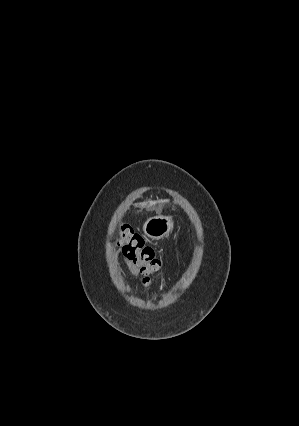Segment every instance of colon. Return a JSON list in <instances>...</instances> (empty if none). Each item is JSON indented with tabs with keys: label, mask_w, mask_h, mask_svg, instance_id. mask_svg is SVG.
Listing matches in <instances>:
<instances>
[{
	"label": "colon",
	"mask_w": 299,
	"mask_h": 426,
	"mask_svg": "<svg viewBox=\"0 0 299 426\" xmlns=\"http://www.w3.org/2000/svg\"><path fill=\"white\" fill-rule=\"evenodd\" d=\"M117 244L123 255L138 267L143 285L151 287L155 282L154 276L161 267L153 248L147 246L142 236L129 225L120 228Z\"/></svg>",
	"instance_id": "colon-1"
}]
</instances>
